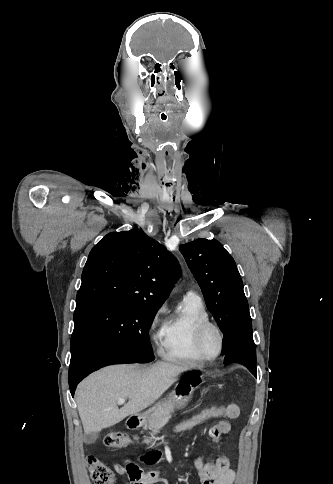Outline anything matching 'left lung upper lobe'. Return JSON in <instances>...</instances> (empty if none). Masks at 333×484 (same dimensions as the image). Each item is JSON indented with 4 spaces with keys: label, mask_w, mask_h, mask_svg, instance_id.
Here are the masks:
<instances>
[{
    "label": "left lung upper lobe",
    "mask_w": 333,
    "mask_h": 484,
    "mask_svg": "<svg viewBox=\"0 0 333 484\" xmlns=\"http://www.w3.org/2000/svg\"><path fill=\"white\" fill-rule=\"evenodd\" d=\"M180 251L223 332L222 355H225L234 329L250 316L236 263L217 240L197 239L181 245Z\"/></svg>",
    "instance_id": "obj_1"
}]
</instances>
